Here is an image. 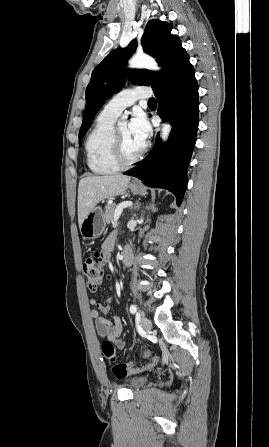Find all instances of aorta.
<instances>
[{
	"label": "aorta",
	"instance_id": "obj_1",
	"mask_svg": "<svg viewBox=\"0 0 269 447\" xmlns=\"http://www.w3.org/2000/svg\"><path fill=\"white\" fill-rule=\"evenodd\" d=\"M128 64V68H146V70H156V72L161 70L154 58H151L148 54H135V56H132L131 60H129ZM126 120L127 116H122V118H120L121 130H127ZM171 130L172 126H170L168 122H166V124H162L161 140H163V142H167Z\"/></svg>",
	"mask_w": 269,
	"mask_h": 447
}]
</instances>
